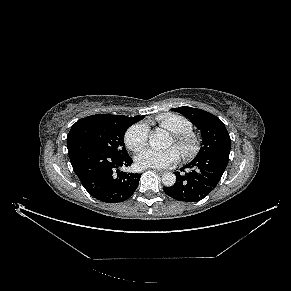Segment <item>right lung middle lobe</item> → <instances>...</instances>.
Wrapping results in <instances>:
<instances>
[{
  "label": "right lung middle lobe",
  "instance_id": "obj_1",
  "mask_svg": "<svg viewBox=\"0 0 291 291\" xmlns=\"http://www.w3.org/2000/svg\"><path fill=\"white\" fill-rule=\"evenodd\" d=\"M134 122L125 117H95L75 123L67 137V146L81 141L103 148L116 156L128 155L124 134Z\"/></svg>",
  "mask_w": 291,
  "mask_h": 291
}]
</instances>
